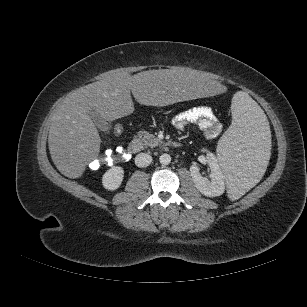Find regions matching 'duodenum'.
Returning a JSON list of instances; mask_svg holds the SVG:
<instances>
[{"mask_svg": "<svg viewBox=\"0 0 307 307\" xmlns=\"http://www.w3.org/2000/svg\"><path fill=\"white\" fill-rule=\"evenodd\" d=\"M166 146L168 147H173V148H178L180 144L176 141H167ZM141 149V143L139 141H132L128 144L126 147V150L128 151L129 155H134L137 154Z\"/></svg>", "mask_w": 307, "mask_h": 307, "instance_id": "410a0bca", "label": "duodenum"}]
</instances>
